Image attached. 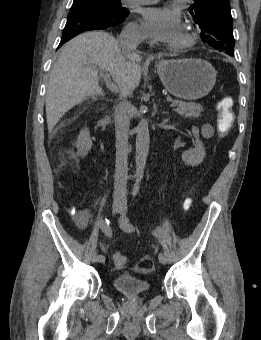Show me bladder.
I'll return each mask as SVG.
<instances>
[{
  "label": "bladder",
  "mask_w": 261,
  "mask_h": 340,
  "mask_svg": "<svg viewBox=\"0 0 261 340\" xmlns=\"http://www.w3.org/2000/svg\"><path fill=\"white\" fill-rule=\"evenodd\" d=\"M113 286L116 291L128 297L143 296L149 292L146 280L128 273L116 276L113 279Z\"/></svg>",
  "instance_id": "bladder-1"
}]
</instances>
